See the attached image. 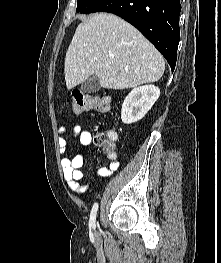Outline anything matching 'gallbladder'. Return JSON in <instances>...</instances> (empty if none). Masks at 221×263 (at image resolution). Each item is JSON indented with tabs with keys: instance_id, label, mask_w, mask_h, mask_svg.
Listing matches in <instances>:
<instances>
[{
	"instance_id": "1",
	"label": "gallbladder",
	"mask_w": 221,
	"mask_h": 263,
	"mask_svg": "<svg viewBox=\"0 0 221 263\" xmlns=\"http://www.w3.org/2000/svg\"><path fill=\"white\" fill-rule=\"evenodd\" d=\"M100 89L99 78L93 74L89 76L81 85V90L84 93H95Z\"/></svg>"
}]
</instances>
